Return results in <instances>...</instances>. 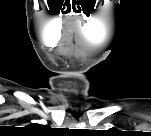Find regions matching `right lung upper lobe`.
<instances>
[{
    "label": "right lung upper lobe",
    "instance_id": "1",
    "mask_svg": "<svg viewBox=\"0 0 151 136\" xmlns=\"http://www.w3.org/2000/svg\"><path fill=\"white\" fill-rule=\"evenodd\" d=\"M44 126H39V125H36V124H33V125H29V128L27 129H34V130H39V131H44L45 128H43Z\"/></svg>",
    "mask_w": 151,
    "mask_h": 136
}]
</instances>
